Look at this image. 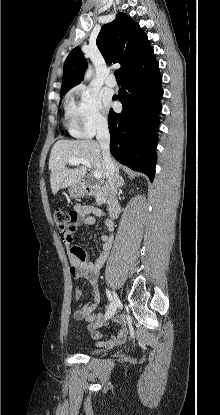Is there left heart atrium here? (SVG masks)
Wrapping results in <instances>:
<instances>
[{"label": "left heart atrium", "mask_w": 220, "mask_h": 415, "mask_svg": "<svg viewBox=\"0 0 220 415\" xmlns=\"http://www.w3.org/2000/svg\"><path fill=\"white\" fill-rule=\"evenodd\" d=\"M104 102H105V106L108 108L109 106H111L112 101H111V97L109 94H105L104 95Z\"/></svg>", "instance_id": "39dd6f15"}]
</instances>
